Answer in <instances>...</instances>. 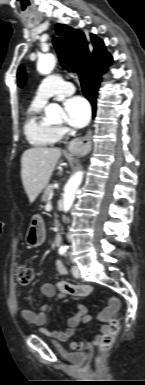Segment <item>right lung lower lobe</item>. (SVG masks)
I'll return each mask as SVG.
<instances>
[{"mask_svg": "<svg viewBox=\"0 0 145 385\" xmlns=\"http://www.w3.org/2000/svg\"><path fill=\"white\" fill-rule=\"evenodd\" d=\"M105 67L106 65L91 67L79 75L84 95L92 105L93 116H95L96 112V97L101 80L100 76Z\"/></svg>", "mask_w": 145, "mask_h": 385, "instance_id": "obj_1", "label": "right lung lower lobe"}]
</instances>
